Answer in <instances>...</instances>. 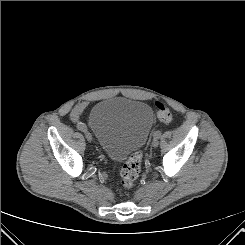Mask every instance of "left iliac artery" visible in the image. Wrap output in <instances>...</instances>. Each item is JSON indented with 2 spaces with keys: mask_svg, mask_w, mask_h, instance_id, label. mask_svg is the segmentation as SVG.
I'll return each mask as SVG.
<instances>
[{
  "mask_svg": "<svg viewBox=\"0 0 245 245\" xmlns=\"http://www.w3.org/2000/svg\"><path fill=\"white\" fill-rule=\"evenodd\" d=\"M154 138H159L161 136V131H156L153 134Z\"/></svg>",
  "mask_w": 245,
  "mask_h": 245,
  "instance_id": "obj_1",
  "label": "left iliac artery"
}]
</instances>
